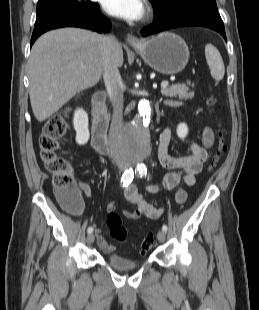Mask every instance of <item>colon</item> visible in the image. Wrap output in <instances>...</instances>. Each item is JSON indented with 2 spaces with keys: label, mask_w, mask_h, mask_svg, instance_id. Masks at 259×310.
I'll list each match as a JSON object with an SVG mask.
<instances>
[{
  "label": "colon",
  "mask_w": 259,
  "mask_h": 310,
  "mask_svg": "<svg viewBox=\"0 0 259 310\" xmlns=\"http://www.w3.org/2000/svg\"><path fill=\"white\" fill-rule=\"evenodd\" d=\"M215 100L209 99L210 106ZM67 130V124L62 116L52 117L44 126L40 136V156L46 169L53 176L55 194L59 202L69 211L78 212L82 206V196L76 187L74 176L68 160L58 154L60 139ZM226 150L225 130H218L217 152L213 155L209 170H213L219 162L221 155ZM107 226L112 238L117 241H124L127 238V229L122 223L119 214L110 211L106 219ZM156 243L155 235H147L141 243L143 252L150 250Z\"/></svg>",
  "instance_id": "colon-1"
}]
</instances>
